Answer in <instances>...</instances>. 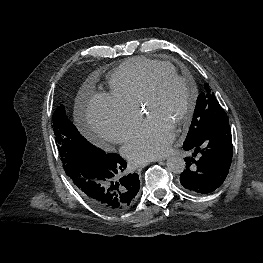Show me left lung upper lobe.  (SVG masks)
Wrapping results in <instances>:
<instances>
[{
  "label": "left lung upper lobe",
  "instance_id": "1",
  "mask_svg": "<svg viewBox=\"0 0 263 263\" xmlns=\"http://www.w3.org/2000/svg\"><path fill=\"white\" fill-rule=\"evenodd\" d=\"M205 90L198 96L191 126L185 142H191L201 137L213 125L229 121L226 112L220 106L215 95L207 84Z\"/></svg>",
  "mask_w": 263,
  "mask_h": 263
}]
</instances>
